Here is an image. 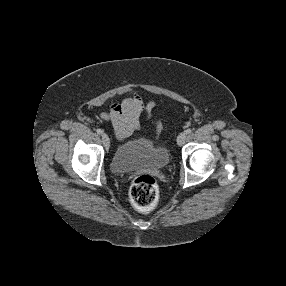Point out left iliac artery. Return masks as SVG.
Wrapping results in <instances>:
<instances>
[{"label":"left iliac artery","mask_w":286,"mask_h":286,"mask_svg":"<svg viewBox=\"0 0 286 286\" xmlns=\"http://www.w3.org/2000/svg\"><path fill=\"white\" fill-rule=\"evenodd\" d=\"M191 132H192V129L190 128L185 131L186 134H190Z\"/></svg>","instance_id":"left-iliac-artery-1"}]
</instances>
